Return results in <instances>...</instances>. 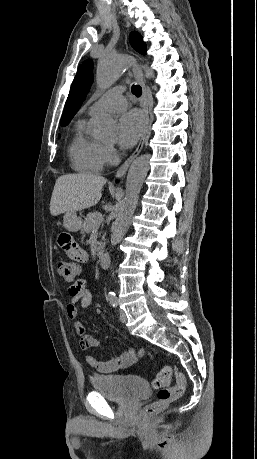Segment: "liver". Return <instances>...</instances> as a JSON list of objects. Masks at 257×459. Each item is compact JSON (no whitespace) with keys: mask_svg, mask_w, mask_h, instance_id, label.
I'll list each match as a JSON object with an SVG mask.
<instances>
[{"mask_svg":"<svg viewBox=\"0 0 257 459\" xmlns=\"http://www.w3.org/2000/svg\"><path fill=\"white\" fill-rule=\"evenodd\" d=\"M106 181L102 176L87 173L58 177L50 201L51 215L57 216L94 206L101 198L102 187Z\"/></svg>","mask_w":257,"mask_h":459,"instance_id":"1","label":"liver"}]
</instances>
